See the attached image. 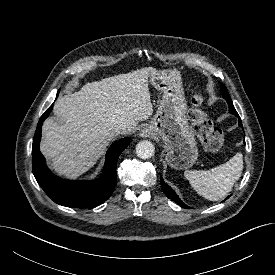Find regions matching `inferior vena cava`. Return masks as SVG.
<instances>
[{"label": "inferior vena cava", "mask_w": 275, "mask_h": 275, "mask_svg": "<svg viewBox=\"0 0 275 275\" xmlns=\"http://www.w3.org/2000/svg\"><path fill=\"white\" fill-rule=\"evenodd\" d=\"M117 134H127L128 133V129L125 126H121L116 130Z\"/></svg>", "instance_id": "1"}]
</instances>
